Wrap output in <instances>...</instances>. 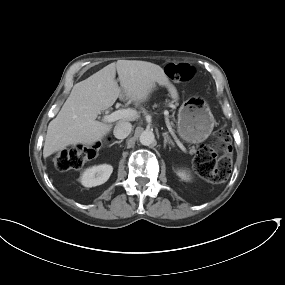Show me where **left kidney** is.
<instances>
[{"label":"left kidney","mask_w":285,"mask_h":285,"mask_svg":"<svg viewBox=\"0 0 285 285\" xmlns=\"http://www.w3.org/2000/svg\"><path fill=\"white\" fill-rule=\"evenodd\" d=\"M177 175L182 179V180H190V174L186 170H178Z\"/></svg>","instance_id":"left-kidney-1"}]
</instances>
